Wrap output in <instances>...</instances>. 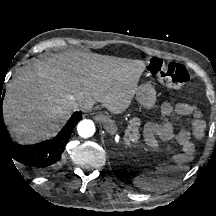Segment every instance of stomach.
Instances as JSON below:
<instances>
[{
  "instance_id": "stomach-1",
  "label": "stomach",
  "mask_w": 216,
  "mask_h": 216,
  "mask_svg": "<svg viewBox=\"0 0 216 216\" xmlns=\"http://www.w3.org/2000/svg\"><path fill=\"white\" fill-rule=\"evenodd\" d=\"M135 95L136 100L142 107H144L147 110H151L154 108L156 104V92L152 85L142 84L140 86H137ZM116 108L117 105L114 106V110Z\"/></svg>"
}]
</instances>
